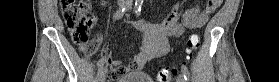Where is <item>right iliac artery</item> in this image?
<instances>
[{"label":"right iliac artery","mask_w":279,"mask_h":82,"mask_svg":"<svg viewBox=\"0 0 279 82\" xmlns=\"http://www.w3.org/2000/svg\"><path fill=\"white\" fill-rule=\"evenodd\" d=\"M130 5H131V1L128 0V1L125 3L124 6H122L121 8H119V9L115 12V14H114L115 19H117V20L121 19V18L123 17V15H124L125 11L127 10V8H128ZM97 65H98L99 68H102V67H103L102 61L99 60V61L97 62Z\"/></svg>","instance_id":"right-iliac-artery-1"}]
</instances>
